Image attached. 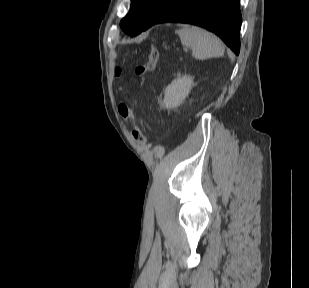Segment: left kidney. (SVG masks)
I'll list each match as a JSON object with an SVG mask.
<instances>
[{
	"label": "left kidney",
	"mask_w": 309,
	"mask_h": 288,
	"mask_svg": "<svg viewBox=\"0 0 309 288\" xmlns=\"http://www.w3.org/2000/svg\"><path fill=\"white\" fill-rule=\"evenodd\" d=\"M194 86L193 78L190 76H182L174 80L165 89L164 105L170 110L177 108L185 98L189 95Z\"/></svg>",
	"instance_id": "left-kidney-1"
}]
</instances>
